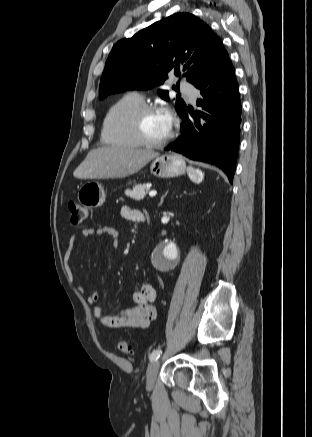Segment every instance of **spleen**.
<instances>
[{
    "instance_id": "3e777b00",
    "label": "spleen",
    "mask_w": 312,
    "mask_h": 437,
    "mask_svg": "<svg viewBox=\"0 0 312 437\" xmlns=\"http://www.w3.org/2000/svg\"><path fill=\"white\" fill-rule=\"evenodd\" d=\"M187 171L190 179L193 182L200 183L204 178V173L200 169L189 166Z\"/></svg>"
}]
</instances>
